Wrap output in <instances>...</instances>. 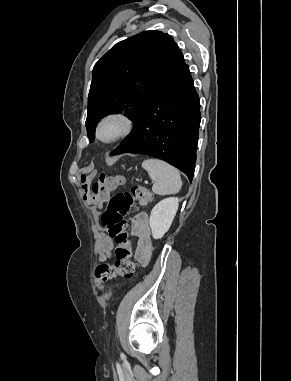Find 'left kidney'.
<instances>
[{
	"mask_svg": "<svg viewBox=\"0 0 291 381\" xmlns=\"http://www.w3.org/2000/svg\"><path fill=\"white\" fill-rule=\"evenodd\" d=\"M179 199L168 197L157 203L150 214V228L154 239H161L169 230L178 210Z\"/></svg>",
	"mask_w": 291,
	"mask_h": 381,
	"instance_id": "1",
	"label": "left kidney"
}]
</instances>
